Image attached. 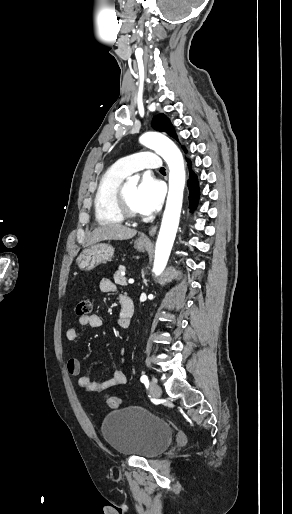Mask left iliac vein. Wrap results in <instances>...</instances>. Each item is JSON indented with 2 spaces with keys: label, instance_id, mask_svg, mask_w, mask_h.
I'll return each mask as SVG.
<instances>
[{
  "label": "left iliac vein",
  "instance_id": "4c4485c4",
  "mask_svg": "<svg viewBox=\"0 0 292 514\" xmlns=\"http://www.w3.org/2000/svg\"><path fill=\"white\" fill-rule=\"evenodd\" d=\"M149 388H150L151 394L155 398H159L162 395V389L155 381L150 382Z\"/></svg>",
  "mask_w": 292,
  "mask_h": 514
}]
</instances>
